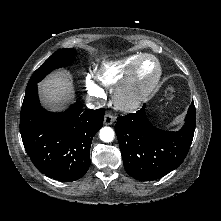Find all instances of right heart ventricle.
Here are the masks:
<instances>
[{
    "label": "right heart ventricle",
    "instance_id": "e07e8e85",
    "mask_svg": "<svg viewBox=\"0 0 221 221\" xmlns=\"http://www.w3.org/2000/svg\"><path fill=\"white\" fill-rule=\"evenodd\" d=\"M141 55L142 54H133L120 60L104 64L96 74L97 81L106 87L119 84Z\"/></svg>",
    "mask_w": 221,
    "mask_h": 221
}]
</instances>
